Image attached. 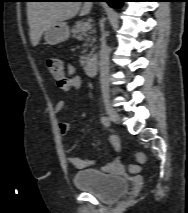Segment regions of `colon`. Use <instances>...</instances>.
Returning a JSON list of instances; mask_svg holds the SVG:
<instances>
[{
	"label": "colon",
	"mask_w": 188,
	"mask_h": 213,
	"mask_svg": "<svg viewBox=\"0 0 188 213\" xmlns=\"http://www.w3.org/2000/svg\"><path fill=\"white\" fill-rule=\"evenodd\" d=\"M47 67L52 73V75L57 79L63 76V67L61 61L56 58H50L47 60ZM135 162L130 165V172L137 173L140 171L141 164L145 161V155L143 152H137L134 156Z\"/></svg>",
	"instance_id": "obj_1"
}]
</instances>
